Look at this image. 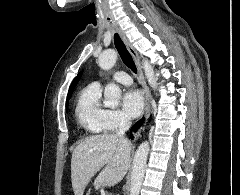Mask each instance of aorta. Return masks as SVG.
I'll list each match as a JSON object with an SVG mask.
<instances>
[{
    "instance_id": "obj_1",
    "label": "aorta",
    "mask_w": 240,
    "mask_h": 195,
    "mask_svg": "<svg viewBox=\"0 0 240 195\" xmlns=\"http://www.w3.org/2000/svg\"><path fill=\"white\" fill-rule=\"evenodd\" d=\"M117 60V54L115 50H106L103 54H100L98 58L99 68L101 70H111L115 66ZM143 70L145 76L150 84L151 88L156 90V78L155 72L150 66L148 60H143ZM104 98L106 99L107 105L109 107H115L118 105L121 99V90L117 84H107L104 90ZM149 141H143L140 143L138 149L135 151L132 171H131V185H130V195H139L141 185L143 183L145 175L146 161L149 153Z\"/></svg>"
}]
</instances>
